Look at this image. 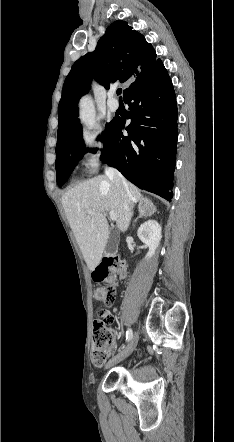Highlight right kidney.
Returning a JSON list of instances; mask_svg holds the SVG:
<instances>
[{
	"label": "right kidney",
	"mask_w": 234,
	"mask_h": 442,
	"mask_svg": "<svg viewBox=\"0 0 234 442\" xmlns=\"http://www.w3.org/2000/svg\"><path fill=\"white\" fill-rule=\"evenodd\" d=\"M161 226L155 220H148L140 225L137 231L139 239L149 247L146 259H150L154 254L162 238Z\"/></svg>",
	"instance_id": "obj_1"
}]
</instances>
